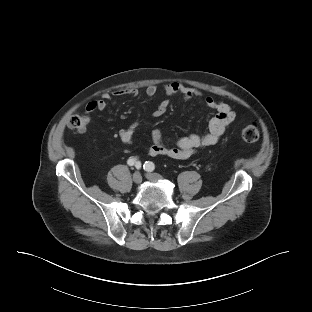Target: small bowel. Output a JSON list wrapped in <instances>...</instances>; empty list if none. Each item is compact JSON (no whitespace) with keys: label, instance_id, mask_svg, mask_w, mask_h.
<instances>
[{"label":"small bowel","instance_id":"1","mask_svg":"<svg viewBox=\"0 0 312 312\" xmlns=\"http://www.w3.org/2000/svg\"><path fill=\"white\" fill-rule=\"evenodd\" d=\"M157 90V86L151 84L147 86L145 92L148 97H153ZM164 91L167 98L161 101L153 112L155 117H160L167 111L170 104L169 98L176 95H181L185 101L202 98L205 105L214 111L215 115L210 120L208 131L205 134L182 137L174 146L167 145L163 140L161 130L155 128L152 131L153 143L147 149L148 154L151 156L162 155L179 160L190 158L203 148L215 144L235 119V113L227 103L219 101L211 95H206L197 89L187 87L178 82H171L164 85ZM137 94L138 90L134 88L117 90L112 94L105 93L100 99L89 102L86 105V112L91 114L94 111H103L110 101L116 102L117 99L123 96H135ZM138 125L139 123L135 121L128 127L119 130L120 140L124 144L131 145L133 143L134 132Z\"/></svg>","mask_w":312,"mask_h":312}]
</instances>
